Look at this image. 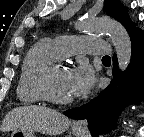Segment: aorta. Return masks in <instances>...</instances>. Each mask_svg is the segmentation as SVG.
Here are the masks:
<instances>
[{
    "mask_svg": "<svg viewBox=\"0 0 144 137\" xmlns=\"http://www.w3.org/2000/svg\"><path fill=\"white\" fill-rule=\"evenodd\" d=\"M77 27L93 33H108L116 50L119 69L125 71L128 68L132 56L131 40L128 32L119 22L110 19H84Z\"/></svg>",
    "mask_w": 144,
    "mask_h": 137,
    "instance_id": "obj_1",
    "label": "aorta"
}]
</instances>
